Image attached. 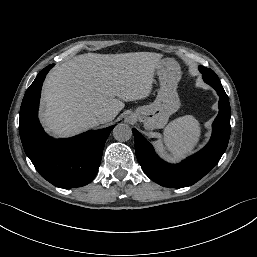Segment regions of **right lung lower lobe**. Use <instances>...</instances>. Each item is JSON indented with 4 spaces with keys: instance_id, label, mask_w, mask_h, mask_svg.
Returning a JSON list of instances; mask_svg holds the SVG:
<instances>
[{
    "instance_id": "98d812e1",
    "label": "right lung lower lobe",
    "mask_w": 257,
    "mask_h": 257,
    "mask_svg": "<svg viewBox=\"0 0 257 257\" xmlns=\"http://www.w3.org/2000/svg\"><path fill=\"white\" fill-rule=\"evenodd\" d=\"M47 66L27 89L19 119V131L26 155L47 181L59 188H75L90 183L97 174L110 126L88 131L69 139H52L38 120V106Z\"/></svg>"
}]
</instances>
